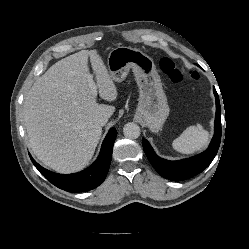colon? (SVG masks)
Wrapping results in <instances>:
<instances>
[{"instance_id": "colon-1", "label": "colon", "mask_w": 249, "mask_h": 249, "mask_svg": "<svg viewBox=\"0 0 249 249\" xmlns=\"http://www.w3.org/2000/svg\"><path fill=\"white\" fill-rule=\"evenodd\" d=\"M160 68L174 83H186L198 79L196 72L183 69L178 62L170 58H163L160 61Z\"/></svg>"}]
</instances>
